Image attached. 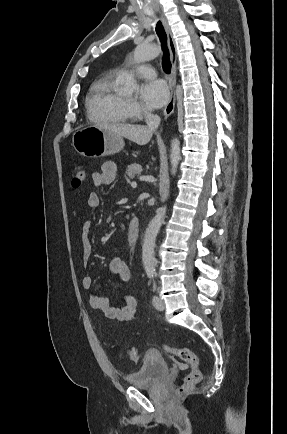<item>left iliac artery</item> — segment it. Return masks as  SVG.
I'll return each instance as SVG.
<instances>
[{"mask_svg": "<svg viewBox=\"0 0 287 434\" xmlns=\"http://www.w3.org/2000/svg\"><path fill=\"white\" fill-rule=\"evenodd\" d=\"M156 289V285H155V283H154V286H153V291Z\"/></svg>", "mask_w": 287, "mask_h": 434, "instance_id": "1", "label": "left iliac artery"}]
</instances>
